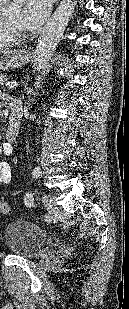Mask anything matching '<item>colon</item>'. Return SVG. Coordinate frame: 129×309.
I'll return each instance as SVG.
<instances>
[{
	"instance_id": "obj_1",
	"label": "colon",
	"mask_w": 129,
	"mask_h": 309,
	"mask_svg": "<svg viewBox=\"0 0 129 309\" xmlns=\"http://www.w3.org/2000/svg\"><path fill=\"white\" fill-rule=\"evenodd\" d=\"M11 212V205L8 202L0 201V213L9 214Z\"/></svg>"
}]
</instances>
